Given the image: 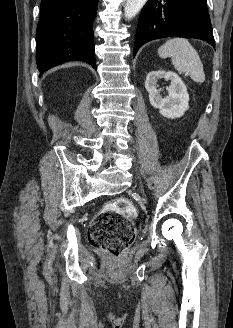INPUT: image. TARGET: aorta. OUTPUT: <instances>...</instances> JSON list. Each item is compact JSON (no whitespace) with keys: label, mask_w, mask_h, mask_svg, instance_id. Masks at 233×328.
<instances>
[{"label":"aorta","mask_w":233,"mask_h":328,"mask_svg":"<svg viewBox=\"0 0 233 328\" xmlns=\"http://www.w3.org/2000/svg\"><path fill=\"white\" fill-rule=\"evenodd\" d=\"M146 2L147 0H127L125 6V17L127 19L134 17Z\"/></svg>","instance_id":"762f6f07"}]
</instances>
